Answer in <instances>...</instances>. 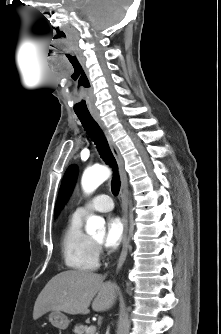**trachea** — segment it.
<instances>
[{"instance_id": "obj_1", "label": "trachea", "mask_w": 221, "mask_h": 334, "mask_svg": "<svg viewBox=\"0 0 221 334\" xmlns=\"http://www.w3.org/2000/svg\"><path fill=\"white\" fill-rule=\"evenodd\" d=\"M77 117L89 137L94 141L102 159L114 169L115 173L111 182V190L114 195H118L120 190V179L117 174V163L102 129L91 115H77Z\"/></svg>"}]
</instances>
